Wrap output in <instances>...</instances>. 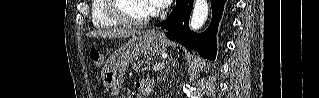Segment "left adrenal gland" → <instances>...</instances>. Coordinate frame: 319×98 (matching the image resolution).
<instances>
[{
	"label": "left adrenal gland",
	"mask_w": 319,
	"mask_h": 98,
	"mask_svg": "<svg viewBox=\"0 0 319 98\" xmlns=\"http://www.w3.org/2000/svg\"><path fill=\"white\" fill-rule=\"evenodd\" d=\"M169 72H170V68H168V69L166 70V72H165V74H164L162 80H164V81L166 80L167 76L169 75Z\"/></svg>",
	"instance_id": "a2214340"
}]
</instances>
